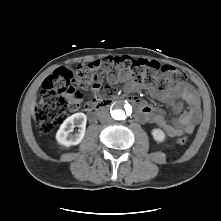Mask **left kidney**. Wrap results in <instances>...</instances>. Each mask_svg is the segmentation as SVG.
I'll return each mask as SVG.
<instances>
[{
  "label": "left kidney",
  "instance_id": "obj_1",
  "mask_svg": "<svg viewBox=\"0 0 221 221\" xmlns=\"http://www.w3.org/2000/svg\"><path fill=\"white\" fill-rule=\"evenodd\" d=\"M152 136L158 142H163L166 138L165 133L158 128L152 130Z\"/></svg>",
  "mask_w": 221,
  "mask_h": 221
}]
</instances>
